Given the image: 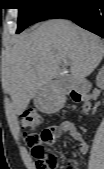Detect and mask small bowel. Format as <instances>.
<instances>
[{
    "label": "small bowel",
    "mask_w": 104,
    "mask_h": 169,
    "mask_svg": "<svg viewBox=\"0 0 104 169\" xmlns=\"http://www.w3.org/2000/svg\"><path fill=\"white\" fill-rule=\"evenodd\" d=\"M59 131L67 132L70 134L71 138L77 143L78 150L81 153H87L89 150L88 143L86 142L84 136L76 129L75 124L71 121H63L58 125ZM57 137L49 139L46 143L53 142Z\"/></svg>",
    "instance_id": "1"
}]
</instances>
